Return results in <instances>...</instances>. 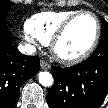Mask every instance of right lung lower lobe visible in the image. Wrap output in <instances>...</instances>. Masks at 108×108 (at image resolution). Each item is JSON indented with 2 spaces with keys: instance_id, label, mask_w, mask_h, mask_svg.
<instances>
[{
  "instance_id": "right-lung-lower-lobe-1",
  "label": "right lung lower lobe",
  "mask_w": 108,
  "mask_h": 108,
  "mask_svg": "<svg viewBox=\"0 0 108 108\" xmlns=\"http://www.w3.org/2000/svg\"><path fill=\"white\" fill-rule=\"evenodd\" d=\"M40 70L37 56H25L16 46L4 18L0 19V108H12L22 84Z\"/></svg>"
}]
</instances>
